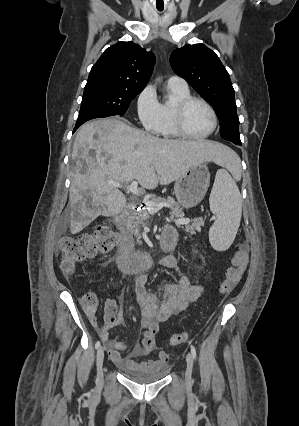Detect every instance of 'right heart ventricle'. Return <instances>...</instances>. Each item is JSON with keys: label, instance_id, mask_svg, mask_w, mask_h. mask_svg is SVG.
<instances>
[{"label": "right heart ventricle", "instance_id": "1", "mask_svg": "<svg viewBox=\"0 0 299 426\" xmlns=\"http://www.w3.org/2000/svg\"><path fill=\"white\" fill-rule=\"evenodd\" d=\"M168 91L170 97L160 103L161 121L158 133L166 138H176L179 137L180 134L177 132L174 125V108L179 101L191 95L188 87L181 88L168 84Z\"/></svg>", "mask_w": 299, "mask_h": 426}]
</instances>
